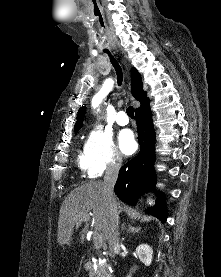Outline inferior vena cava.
<instances>
[{
	"mask_svg": "<svg viewBox=\"0 0 221 277\" xmlns=\"http://www.w3.org/2000/svg\"><path fill=\"white\" fill-rule=\"evenodd\" d=\"M121 164L112 161L107 165L104 181L103 193L106 198L109 209V225H108V242L109 254L112 258L115 257L116 250L119 248V213L113 197V189L116 183Z\"/></svg>",
	"mask_w": 221,
	"mask_h": 277,
	"instance_id": "obj_1",
	"label": "inferior vena cava"
}]
</instances>
